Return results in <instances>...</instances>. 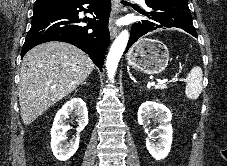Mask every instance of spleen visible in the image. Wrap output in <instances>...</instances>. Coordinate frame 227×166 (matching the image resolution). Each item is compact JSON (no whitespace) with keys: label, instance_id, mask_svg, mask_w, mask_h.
Masks as SVG:
<instances>
[{"label":"spleen","instance_id":"1","mask_svg":"<svg viewBox=\"0 0 227 166\" xmlns=\"http://www.w3.org/2000/svg\"><path fill=\"white\" fill-rule=\"evenodd\" d=\"M202 80L203 74L201 68L198 66L193 67L186 77L187 85L185 94L188 99L196 100L199 97L203 89Z\"/></svg>","mask_w":227,"mask_h":166}]
</instances>
